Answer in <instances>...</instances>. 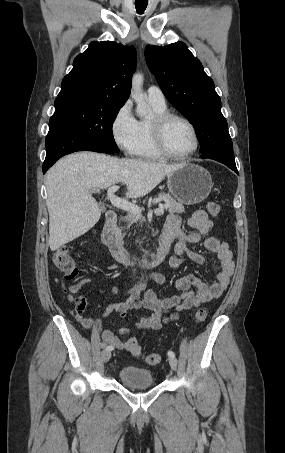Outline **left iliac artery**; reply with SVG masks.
<instances>
[{
  "mask_svg": "<svg viewBox=\"0 0 285 453\" xmlns=\"http://www.w3.org/2000/svg\"><path fill=\"white\" fill-rule=\"evenodd\" d=\"M167 354L169 357H175V353L173 351H168Z\"/></svg>",
  "mask_w": 285,
  "mask_h": 453,
  "instance_id": "44dca946",
  "label": "left iliac artery"
}]
</instances>
